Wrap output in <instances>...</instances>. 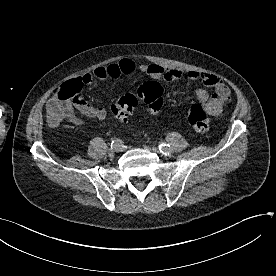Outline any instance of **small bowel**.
Masks as SVG:
<instances>
[{
	"label": "small bowel",
	"mask_w": 276,
	"mask_h": 276,
	"mask_svg": "<svg viewBox=\"0 0 276 276\" xmlns=\"http://www.w3.org/2000/svg\"><path fill=\"white\" fill-rule=\"evenodd\" d=\"M136 70L146 74L152 79L163 80L166 82H172L183 78H187L191 81H201L206 87L213 89V93L209 96L204 89L196 90V99L193 101L192 105H201L205 111L212 116L219 115L222 112L224 105L231 97L229 88L223 80L216 75L198 71L184 72L179 69L166 68L157 64L137 65L135 61L130 58L121 59L118 63L98 66L93 70V72L86 73L77 79H79L84 86L92 84L95 80L106 81L108 79H117L123 75H130ZM49 106L50 100L48 102V108ZM73 107L82 115L92 120L102 121L107 117V111L104 107L93 106L82 96H80L77 102L73 104ZM66 116L76 125L84 124V122L77 117L72 110Z\"/></svg>",
	"instance_id": "obj_1"
}]
</instances>
